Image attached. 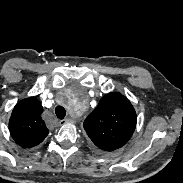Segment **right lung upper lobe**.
<instances>
[{"label":"right lung upper lobe","mask_w":183,"mask_h":183,"mask_svg":"<svg viewBox=\"0 0 183 183\" xmlns=\"http://www.w3.org/2000/svg\"><path fill=\"white\" fill-rule=\"evenodd\" d=\"M43 107L35 97L18 102L9 120L10 133L17 144L30 148L41 143L48 131L41 120Z\"/></svg>","instance_id":"right-lung-upper-lobe-1"}]
</instances>
